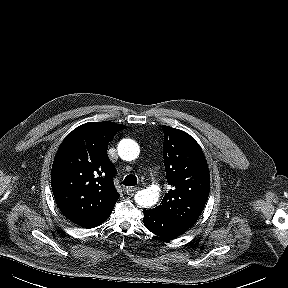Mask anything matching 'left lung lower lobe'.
I'll return each instance as SVG.
<instances>
[{
  "label": "left lung lower lobe",
  "mask_w": 288,
  "mask_h": 288,
  "mask_svg": "<svg viewBox=\"0 0 288 288\" xmlns=\"http://www.w3.org/2000/svg\"><path fill=\"white\" fill-rule=\"evenodd\" d=\"M144 225L152 233L163 239H172L186 232L187 228L179 226L171 221L162 218L152 210H143Z\"/></svg>",
  "instance_id": "obj_1"
}]
</instances>
